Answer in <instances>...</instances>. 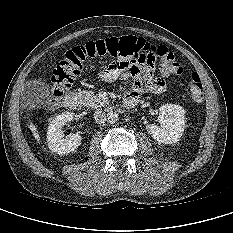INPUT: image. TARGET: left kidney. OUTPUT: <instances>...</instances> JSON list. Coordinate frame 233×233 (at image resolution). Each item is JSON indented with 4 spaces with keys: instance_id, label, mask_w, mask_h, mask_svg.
<instances>
[{
    "instance_id": "obj_1",
    "label": "left kidney",
    "mask_w": 233,
    "mask_h": 233,
    "mask_svg": "<svg viewBox=\"0 0 233 233\" xmlns=\"http://www.w3.org/2000/svg\"><path fill=\"white\" fill-rule=\"evenodd\" d=\"M159 114L161 127L151 124L148 132L159 143H176L185 128V110L179 105L165 104L159 107Z\"/></svg>"
}]
</instances>
